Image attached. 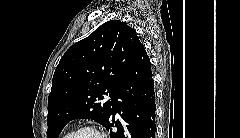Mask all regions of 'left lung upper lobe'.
<instances>
[{"label":"left lung upper lobe","mask_w":240,"mask_h":138,"mask_svg":"<svg viewBox=\"0 0 240 138\" xmlns=\"http://www.w3.org/2000/svg\"><path fill=\"white\" fill-rule=\"evenodd\" d=\"M142 46L135 31L120 20L98 27L72 45L61 58L48 97V135L57 138L75 118L93 119L104 126L112 99ZM105 96L111 100L101 102Z\"/></svg>","instance_id":"left-lung-upper-lobe-1"}]
</instances>
